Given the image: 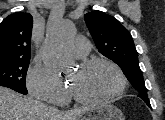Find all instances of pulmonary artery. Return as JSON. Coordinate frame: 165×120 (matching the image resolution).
I'll list each match as a JSON object with an SVG mask.
<instances>
[{
  "label": "pulmonary artery",
  "instance_id": "e3ab8cb5",
  "mask_svg": "<svg viewBox=\"0 0 165 120\" xmlns=\"http://www.w3.org/2000/svg\"><path fill=\"white\" fill-rule=\"evenodd\" d=\"M89 48V43L85 39L78 37L66 45L65 52L73 57L80 58L89 52Z\"/></svg>",
  "mask_w": 165,
  "mask_h": 120
}]
</instances>
